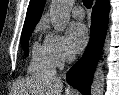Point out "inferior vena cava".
<instances>
[{"mask_svg": "<svg viewBox=\"0 0 119 95\" xmlns=\"http://www.w3.org/2000/svg\"><path fill=\"white\" fill-rule=\"evenodd\" d=\"M74 59V57L70 54L67 55V61L71 62Z\"/></svg>", "mask_w": 119, "mask_h": 95, "instance_id": "inferior-vena-cava-1", "label": "inferior vena cava"}]
</instances>
